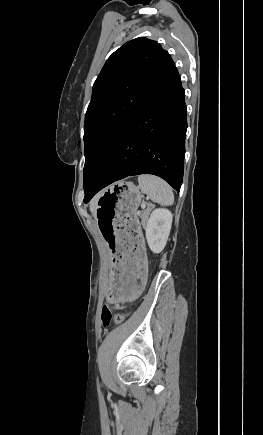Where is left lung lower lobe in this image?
I'll use <instances>...</instances> for the list:
<instances>
[{
	"mask_svg": "<svg viewBox=\"0 0 263 435\" xmlns=\"http://www.w3.org/2000/svg\"><path fill=\"white\" fill-rule=\"evenodd\" d=\"M185 93L177 72L127 127L106 165L85 191L87 203L100 189L138 174H154L180 191L187 129Z\"/></svg>",
	"mask_w": 263,
	"mask_h": 435,
	"instance_id": "1",
	"label": "left lung lower lobe"
}]
</instances>
